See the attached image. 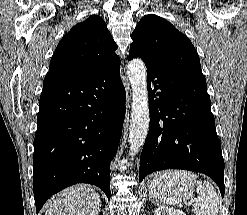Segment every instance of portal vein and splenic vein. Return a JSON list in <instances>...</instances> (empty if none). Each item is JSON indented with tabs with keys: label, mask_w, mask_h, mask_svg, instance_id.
Returning a JSON list of instances; mask_svg holds the SVG:
<instances>
[{
	"label": "portal vein and splenic vein",
	"mask_w": 247,
	"mask_h": 215,
	"mask_svg": "<svg viewBox=\"0 0 247 215\" xmlns=\"http://www.w3.org/2000/svg\"><path fill=\"white\" fill-rule=\"evenodd\" d=\"M191 204H192V203H191V202H189V203H188V206H189V205H191Z\"/></svg>",
	"instance_id": "18ae733b"
}]
</instances>
